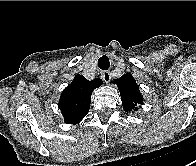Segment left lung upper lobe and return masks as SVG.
Listing matches in <instances>:
<instances>
[{
    "label": "left lung upper lobe",
    "instance_id": "left-lung-upper-lobe-1",
    "mask_svg": "<svg viewBox=\"0 0 196 166\" xmlns=\"http://www.w3.org/2000/svg\"><path fill=\"white\" fill-rule=\"evenodd\" d=\"M121 93L124 111L130 112L138 110L137 105L142 104V96L139 86L131 74H125L119 79L114 80Z\"/></svg>",
    "mask_w": 196,
    "mask_h": 166
}]
</instances>
